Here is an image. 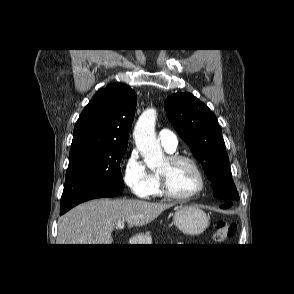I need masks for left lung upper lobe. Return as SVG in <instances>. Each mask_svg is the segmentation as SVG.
I'll list each match as a JSON object with an SVG mask.
<instances>
[{
    "instance_id": "obj_1",
    "label": "left lung upper lobe",
    "mask_w": 294,
    "mask_h": 294,
    "mask_svg": "<svg viewBox=\"0 0 294 294\" xmlns=\"http://www.w3.org/2000/svg\"><path fill=\"white\" fill-rule=\"evenodd\" d=\"M170 122L188 144L203 169L218 199H239L233 182L222 129L215 114L191 93H176L164 103Z\"/></svg>"
}]
</instances>
